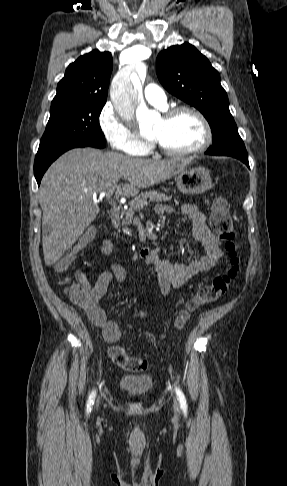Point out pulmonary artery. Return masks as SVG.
<instances>
[{
    "label": "pulmonary artery",
    "instance_id": "pulmonary-artery-1",
    "mask_svg": "<svg viewBox=\"0 0 287 486\" xmlns=\"http://www.w3.org/2000/svg\"><path fill=\"white\" fill-rule=\"evenodd\" d=\"M145 99L152 105L165 109L167 98L164 90L156 84H148L144 89Z\"/></svg>",
    "mask_w": 287,
    "mask_h": 486
}]
</instances>
